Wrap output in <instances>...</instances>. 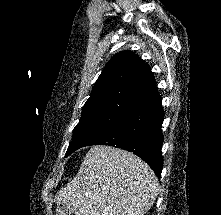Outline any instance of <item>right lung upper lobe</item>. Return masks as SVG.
<instances>
[{
  "label": "right lung upper lobe",
  "instance_id": "obj_1",
  "mask_svg": "<svg viewBox=\"0 0 221 215\" xmlns=\"http://www.w3.org/2000/svg\"><path fill=\"white\" fill-rule=\"evenodd\" d=\"M157 95L150 67L131 51H121L103 69L82 113L123 117Z\"/></svg>",
  "mask_w": 221,
  "mask_h": 215
}]
</instances>
